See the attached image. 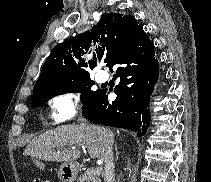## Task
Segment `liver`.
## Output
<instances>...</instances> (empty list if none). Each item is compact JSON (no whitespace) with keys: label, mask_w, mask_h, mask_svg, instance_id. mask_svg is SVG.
I'll list each match as a JSON object with an SVG mask.
<instances>
[{"label":"liver","mask_w":211,"mask_h":182,"mask_svg":"<svg viewBox=\"0 0 211 182\" xmlns=\"http://www.w3.org/2000/svg\"><path fill=\"white\" fill-rule=\"evenodd\" d=\"M102 129L105 128L94 125L60 126L33 138L26 146L24 155L44 161L73 162L81 155L76 147L85 145L91 158L102 159ZM106 130L113 145L114 135L111 130Z\"/></svg>","instance_id":"obj_1"}]
</instances>
